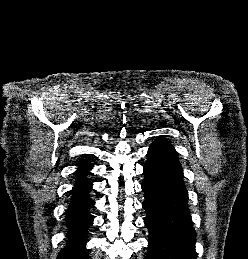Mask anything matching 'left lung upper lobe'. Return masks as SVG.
Masks as SVG:
<instances>
[{
	"label": "left lung upper lobe",
	"instance_id": "left-lung-upper-lobe-1",
	"mask_svg": "<svg viewBox=\"0 0 248 259\" xmlns=\"http://www.w3.org/2000/svg\"><path fill=\"white\" fill-rule=\"evenodd\" d=\"M161 141L168 143L166 140H161ZM169 144H170V143H169Z\"/></svg>",
	"mask_w": 248,
	"mask_h": 259
}]
</instances>
